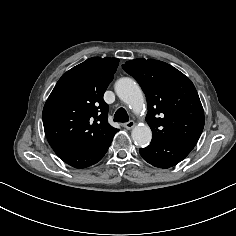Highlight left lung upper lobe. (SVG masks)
Instances as JSON below:
<instances>
[{
  "label": "left lung upper lobe",
  "mask_w": 236,
  "mask_h": 236,
  "mask_svg": "<svg viewBox=\"0 0 236 236\" xmlns=\"http://www.w3.org/2000/svg\"><path fill=\"white\" fill-rule=\"evenodd\" d=\"M122 67L137 80L146 95V121L152 130V141H198L204 127V111L188 77L154 59L139 58Z\"/></svg>",
  "instance_id": "left-lung-upper-lobe-1"
}]
</instances>
